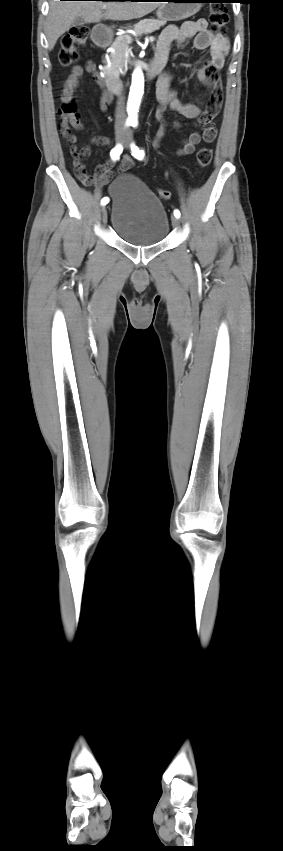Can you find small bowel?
I'll list each match as a JSON object with an SVG mask.
<instances>
[{
    "label": "small bowel",
    "instance_id": "1",
    "mask_svg": "<svg viewBox=\"0 0 283 851\" xmlns=\"http://www.w3.org/2000/svg\"><path fill=\"white\" fill-rule=\"evenodd\" d=\"M207 25L208 23L205 19L185 21L180 26H167L158 37L154 59L162 61L164 66L168 61L171 45L173 43H184L190 39H193V44L196 49L204 50L208 48L211 56L209 63L207 65H200L196 71L198 79L212 92L209 104L205 109H201L195 104L181 103L176 96V92L170 87L172 79L171 73L168 71L163 72L157 86L159 107L155 112V119L164 127L168 126L166 118V111L168 108L178 112L186 118L196 119L202 125H207L218 113V109L222 101V95L220 92L219 80L215 77L214 73L215 71L220 70L224 65L226 55L229 51V41L225 36L210 31ZM84 73L92 74L98 82V86H100L101 90L104 91L100 100V108L101 110L106 111L113 100L112 92L110 90H106L110 84L108 82V77L106 75H100L96 69L95 63L92 61H87L84 66L76 65L72 68L62 90L63 101H71L73 92L78 87L80 79ZM72 124L78 129L82 127L79 120L72 122ZM172 126L174 128H180L181 124L175 121L172 123ZM61 134L70 144V153L73 157V164L75 168L78 167L86 171L85 166L82 164V159L91 154L90 145L78 149L75 145L76 136L70 131L67 124L62 128ZM162 135V130L158 131L156 134L154 142L156 147L158 146ZM215 136L216 134L213 137H209L205 130L203 134L199 132H192L183 140L182 146L177 151V154L181 156L190 155L195 151V146L197 144L201 141L211 142ZM90 143L92 145L104 146L109 145L110 141L109 138L105 136H94ZM112 160V158L108 159L106 163L97 167L95 178L100 184H106L112 177V168L114 165ZM132 165L133 160L129 156H124L121 161L120 168L125 171Z\"/></svg>",
    "mask_w": 283,
    "mask_h": 851
}]
</instances>
